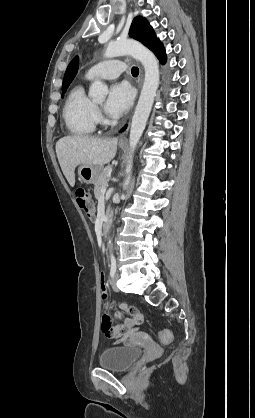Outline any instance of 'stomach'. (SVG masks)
<instances>
[{
  "mask_svg": "<svg viewBox=\"0 0 255 418\" xmlns=\"http://www.w3.org/2000/svg\"><path fill=\"white\" fill-rule=\"evenodd\" d=\"M120 147H123V144H120ZM102 170L103 167L99 165H80L78 176L80 181L91 184L97 180Z\"/></svg>",
  "mask_w": 255,
  "mask_h": 418,
  "instance_id": "1",
  "label": "stomach"
}]
</instances>
